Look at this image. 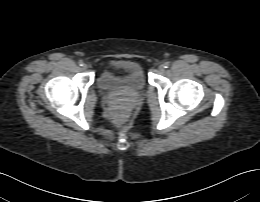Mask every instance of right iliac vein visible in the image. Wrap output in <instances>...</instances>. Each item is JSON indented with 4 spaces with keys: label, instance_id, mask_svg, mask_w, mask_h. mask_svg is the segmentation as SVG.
<instances>
[{
    "label": "right iliac vein",
    "instance_id": "obj_1",
    "mask_svg": "<svg viewBox=\"0 0 260 202\" xmlns=\"http://www.w3.org/2000/svg\"><path fill=\"white\" fill-rule=\"evenodd\" d=\"M82 68H83L84 70H86V69H88V65H87V64H84V65L82 66Z\"/></svg>",
    "mask_w": 260,
    "mask_h": 202
}]
</instances>
